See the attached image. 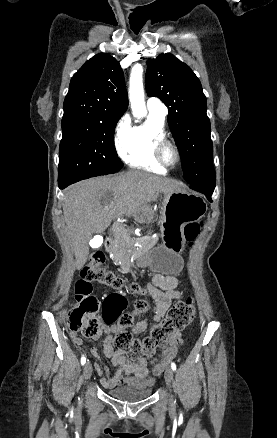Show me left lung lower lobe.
<instances>
[{
	"mask_svg": "<svg viewBox=\"0 0 277 438\" xmlns=\"http://www.w3.org/2000/svg\"><path fill=\"white\" fill-rule=\"evenodd\" d=\"M190 188L195 190V191L203 193L204 195H206V197H207V199L209 201H212L211 200V195L213 194L214 189L200 188V187H191V186H190Z\"/></svg>",
	"mask_w": 277,
	"mask_h": 438,
	"instance_id": "1",
	"label": "left lung lower lobe"
}]
</instances>
